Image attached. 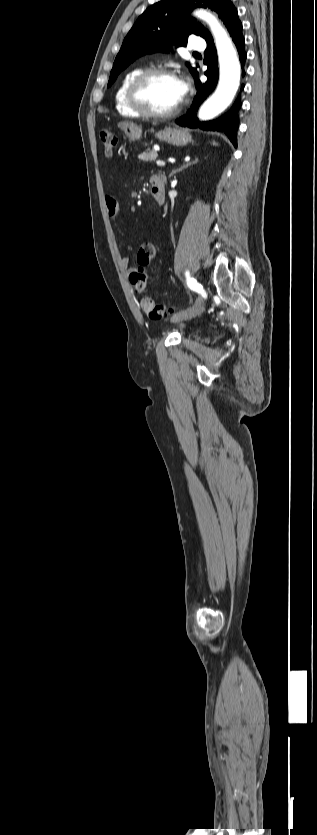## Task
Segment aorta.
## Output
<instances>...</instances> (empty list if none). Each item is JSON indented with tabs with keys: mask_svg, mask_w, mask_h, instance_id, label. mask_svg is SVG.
Wrapping results in <instances>:
<instances>
[{
	"mask_svg": "<svg viewBox=\"0 0 317 835\" xmlns=\"http://www.w3.org/2000/svg\"><path fill=\"white\" fill-rule=\"evenodd\" d=\"M194 15L209 25L219 61L217 88L203 103L198 113L199 119L206 121L220 115L232 103L240 84L241 67L232 40L217 18L204 9L196 10Z\"/></svg>",
	"mask_w": 317,
	"mask_h": 835,
	"instance_id": "762f6f07",
	"label": "aorta"
}]
</instances>
